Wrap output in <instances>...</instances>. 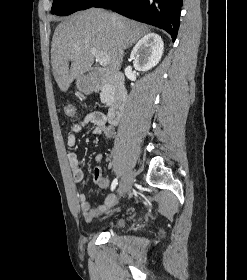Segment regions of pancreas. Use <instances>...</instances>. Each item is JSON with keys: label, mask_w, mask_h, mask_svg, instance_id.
<instances>
[{"label": "pancreas", "mask_w": 247, "mask_h": 280, "mask_svg": "<svg viewBox=\"0 0 247 280\" xmlns=\"http://www.w3.org/2000/svg\"><path fill=\"white\" fill-rule=\"evenodd\" d=\"M107 90L106 88L102 89L101 93H100V98L102 100V102H106L107 100Z\"/></svg>", "instance_id": "cf45deb5"}]
</instances>
